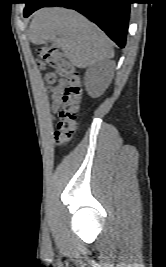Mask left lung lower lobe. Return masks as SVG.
<instances>
[{"mask_svg": "<svg viewBox=\"0 0 166 267\" xmlns=\"http://www.w3.org/2000/svg\"><path fill=\"white\" fill-rule=\"evenodd\" d=\"M25 3V17L50 5L74 9L96 23L118 46H125L132 0H26Z\"/></svg>", "mask_w": 166, "mask_h": 267, "instance_id": "left-lung-lower-lobe-1", "label": "left lung lower lobe"}]
</instances>
